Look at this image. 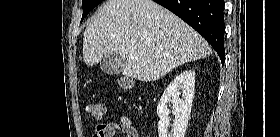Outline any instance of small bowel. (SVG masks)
<instances>
[{
	"label": "small bowel",
	"instance_id": "1",
	"mask_svg": "<svg viewBox=\"0 0 280 137\" xmlns=\"http://www.w3.org/2000/svg\"><path fill=\"white\" fill-rule=\"evenodd\" d=\"M117 132L122 133L124 137H139L135 127L130 125L125 118L121 123L108 122L97 125L93 137H115Z\"/></svg>",
	"mask_w": 280,
	"mask_h": 137
}]
</instances>
